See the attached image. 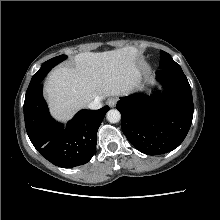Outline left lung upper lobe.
I'll return each mask as SVG.
<instances>
[{
    "label": "left lung upper lobe",
    "instance_id": "1",
    "mask_svg": "<svg viewBox=\"0 0 220 220\" xmlns=\"http://www.w3.org/2000/svg\"><path fill=\"white\" fill-rule=\"evenodd\" d=\"M161 59L159 66L161 69H181V67L171 58V56L164 52L160 51Z\"/></svg>",
    "mask_w": 220,
    "mask_h": 220
}]
</instances>
